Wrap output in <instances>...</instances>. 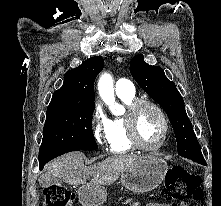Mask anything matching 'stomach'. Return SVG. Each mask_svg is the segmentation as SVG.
<instances>
[{"label": "stomach", "instance_id": "0dacf381", "mask_svg": "<svg viewBox=\"0 0 221 206\" xmlns=\"http://www.w3.org/2000/svg\"><path fill=\"white\" fill-rule=\"evenodd\" d=\"M167 163L158 157H138L121 175L120 182L134 193H147L157 188L165 179ZM82 206H100L107 197L106 189L92 183L82 185L78 190Z\"/></svg>", "mask_w": 221, "mask_h": 206}]
</instances>
